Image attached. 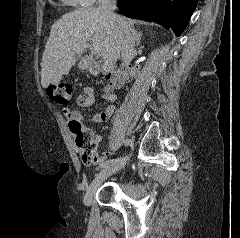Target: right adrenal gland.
Wrapping results in <instances>:
<instances>
[{
	"mask_svg": "<svg viewBox=\"0 0 240 238\" xmlns=\"http://www.w3.org/2000/svg\"><path fill=\"white\" fill-rule=\"evenodd\" d=\"M136 45H140V40H141V36H142V33L141 31H136Z\"/></svg>",
	"mask_w": 240,
	"mask_h": 238,
	"instance_id": "obj_1",
	"label": "right adrenal gland"
}]
</instances>
